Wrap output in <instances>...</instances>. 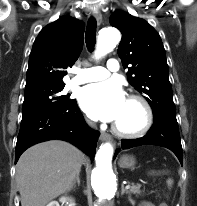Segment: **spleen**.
<instances>
[{
  "label": "spleen",
  "mask_w": 197,
  "mask_h": 206,
  "mask_svg": "<svg viewBox=\"0 0 197 206\" xmlns=\"http://www.w3.org/2000/svg\"><path fill=\"white\" fill-rule=\"evenodd\" d=\"M167 183H168V185H171V184L173 183V181H172L171 179H169V180L167 181Z\"/></svg>",
  "instance_id": "1"
}]
</instances>
